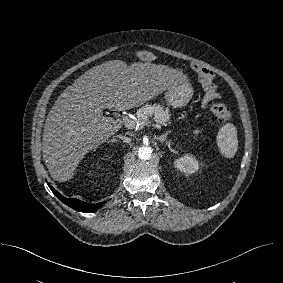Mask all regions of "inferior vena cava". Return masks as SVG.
I'll return each instance as SVG.
<instances>
[{"label":"inferior vena cava","mask_w":283,"mask_h":283,"mask_svg":"<svg viewBox=\"0 0 283 283\" xmlns=\"http://www.w3.org/2000/svg\"><path fill=\"white\" fill-rule=\"evenodd\" d=\"M117 137L120 138L124 143H127V144L131 143V139L129 137L121 136V135H118Z\"/></svg>","instance_id":"obj_1"}]
</instances>
